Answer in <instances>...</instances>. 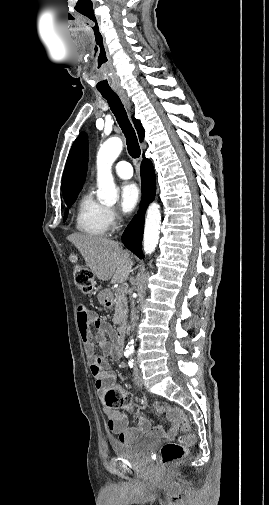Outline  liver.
<instances>
[{
  "label": "liver",
  "instance_id": "liver-1",
  "mask_svg": "<svg viewBox=\"0 0 269 505\" xmlns=\"http://www.w3.org/2000/svg\"><path fill=\"white\" fill-rule=\"evenodd\" d=\"M81 253L86 266L102 281L125 282L132 271V257L116 241L81 233L67 236Z\"/></svg>",
  "mask_w": 269,
  "mask_h": 505
}]
</instances>
